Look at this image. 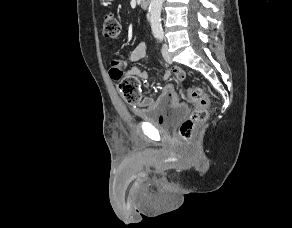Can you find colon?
Listing matches in <instances>:
<instances>
[{
    "label": "colon",
    "instance_id": "1",
    "mask_svg": "<svg viewBox=\"0 0 292 228\" xmlns=\"http://www.w3.org/2000/svg\"><path fill=\"white\" fill-rule=\"evenodd\" d=\"M103 33L106 38L112 40L121 37V23L114 14H107L104 17ZM110 76L118 82L119 91L128 102L136 103L139 101L140 88L137 78L124 76L122 70L118 67V60L112 61ZM186 94L195 107L188 118L181 124L179 133L182 139L189 142L193 137L195 129L207 119L210 101L203 89L199 87L188 88Z\"/></svg>",
    "mask_w": 292,
    "mask_h": 228
}]
</instances>
